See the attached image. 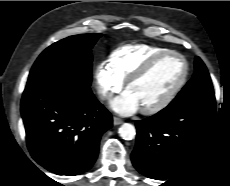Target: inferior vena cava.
I'll use <instances>...</instances> for the list:
<instances>
[{
  "label": "inferior vena cava",
  "instance_id": "obj_1",
  "mask_svg": "<svg viewBox=\"0 0 230 186\" xmlns=\"http://www.w3.org/2000/svg\"><path fill=\"white\" fill-rule=\"evenodd\" d=\"M106 98H109V95H108V94L105 93V94H102V95H101V99H106Z\"/></svg>",
  "mask_w": 230,
  "mask_h": 186
}]
</instances>
